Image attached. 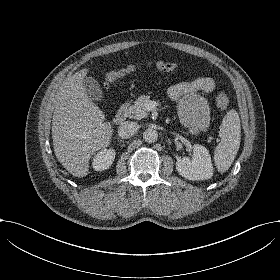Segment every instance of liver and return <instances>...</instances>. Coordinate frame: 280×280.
Listing matches in <instances>:
<instances>
[{"mask_svg":"<svg viewBox=\"0 0 280 280\" xmlns=\"http://www.w3.org/2000/svg\"><path fill=\"white\" fill-rule=\"evenodd\" d=\"M88 70L69 75L55 96L52 138L55 155L68 172L84 177L91 155L111 143L113 128L87 96L83 79Z\"/></svg>","mask_w":280,"mask_h":280,"instance_id":"obj_1","label":"liver"}]
</instances>
